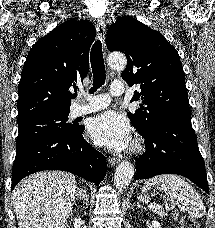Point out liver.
I'll return each instance as SVG.
<instances>
[{
  "mask_svg": "<svg viewBox=\"0 0 215 228\" xmlns=\"http://www.w3.org/2000/svg\"><path fill=\"white\" fill-rule=\"evenodd\" d=\"M76 188L68 172H37L21 180L12 192L19 228H65Z\"/></svg>",
  "mask_w": 215,
  "mask_h": 228,
  "instance_id": "6515ba94",
  "label": "liver"
}]
</instances>
